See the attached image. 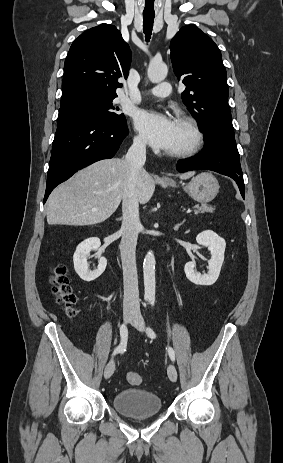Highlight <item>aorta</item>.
Instances as JSON below:
<instances>
[{"label": "aorta", "mask_w": 283, "mask_h": 463, "mask_svg": "<svg viewBox=\"0 0 283 463\" xmlns=\"http://www.w3.org/2000/svg\"><path fill=\"white\" fill-rule=\"evenodd\" d=\"M167 73V65L163 62H151L147 70L148 78L152 83L163 81ZM155 264L154 253L148 251L143 263L144 298L146 300H153L155 298Z\"/></svg>", "instance_id": "obj_1"}]
</instances>
